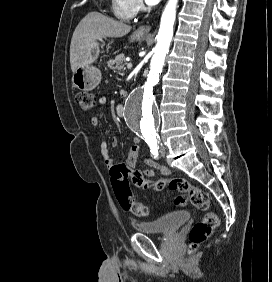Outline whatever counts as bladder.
<instances>
[{
    "instance_id": "31cf9c89",
    "label": "bladder",
    "mask_w": 272,
    "mask_h": 282,
    "mask_svg": "<svg viewBox=\"0 0 272 282\" xmlns=\"http://www.w3.org/2000/svg\"><path fill=\"white\" fill-rule=\"evenodd\" d=\"M189 219V213L185 210L172 212L153 221L133 220L135 229L143 234H166L175 232Z\"/></svg>"
}]
</instances>
